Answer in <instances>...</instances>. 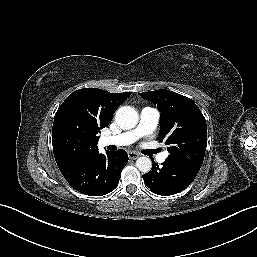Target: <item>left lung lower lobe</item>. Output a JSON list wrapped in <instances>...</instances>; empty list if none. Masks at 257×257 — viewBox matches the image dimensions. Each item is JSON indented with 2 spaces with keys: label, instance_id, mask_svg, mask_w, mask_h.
I'll return each instance as SVG.
<instances>
[{
  "label": "left lung lower lobe",
  "instance_id": "obj_1",
  "mask_svg": "<svg viewBox=\"0 0 257 257\" xmlns=\"http://www.w3.org/2000/svg\"><path fill=\"white\" fill-rule=\"evenodd\" d=\"M200 168L184 160L167 158L161 167L153 162L152 169L143 175V179L152 192L168 196L186 189Z\"/></svg>",
  "mask_w": 257,
  "mask_h": 257
}]
</instances>
